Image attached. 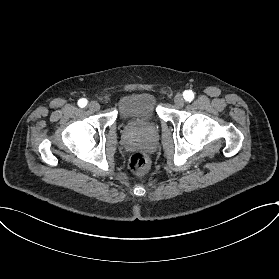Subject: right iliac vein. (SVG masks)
<instances>
[{
	"label": "right iliac vein",
	"mask_w": 279,
	"mask_h": 279,
	"mask_svg": "<svg viewBox=\"0 0 279 279\" xmlns=\"http://www.w3.org/2000/svg\"><path fill=\"white\" fill-rule=\"evenodd\" d=\"M88 107L91 111H98L100 109V104L96 101H91L88 104Z\"/></svg>",
	"instance_id": "right-iliac-vein-1"
}]
</instances>
